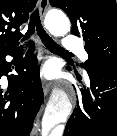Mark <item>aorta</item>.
Returning <instances> with one entry per match:
<instances>
[{"mask_svg": "<svg viewBox=\"0 0 117 136\" xmlns=\"http://www.w3.org/2000/svg\"><path fill=\"white\" fill-rule=\"evenodd\" d=\"M70 21L62 12L50 11L46 17V27L54 36H64L70 31ZM72 111L69 95L61 89H55L50 97L42 118V136L63 123Z\"/></svg>", "mask_w": 117, "mask_h": 136, "instance_id": "762f6f07", "label": "aorta"}]
</instances>
